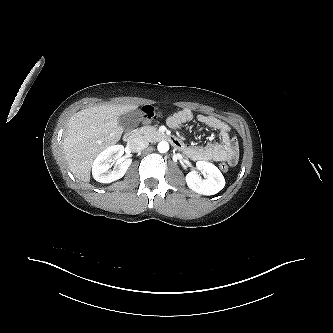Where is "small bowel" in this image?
<instances>
[{"instance_id": "c3829d8e", "label": "small bowel", "mask_w": 333, "mask_h": 333, "mask_svg": "<svg viewBox=\"0 0 333 333\" xmlns=\"http://www.w3.org/2000/svg\"><path fill=\"white\" fill-rule=\"evenodd\" d=\"M193 119L194 114L190 109H182L167 119V125L176 128ZM196 120L216 131L219 142H208L203 146L183 145L181 149L186 156L194 161H227L234 165L238 159L239 146L237 139L230 136L231 126L225 121L206 114L197 115Z\"/></svg>"}]
</instances>
